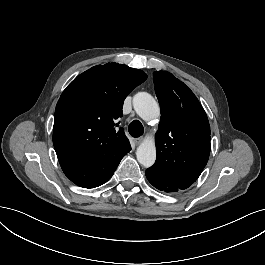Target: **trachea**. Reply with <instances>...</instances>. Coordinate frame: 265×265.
Wrapping results in <instances>:
<instances>
[{
  "instance_id": "1",
  "label": "trachea",
  "mask_w": 265,
  "mask_h": 265,
  "mask_svg": "<svg viewBox=\"0 0 265 265\" xmlns=\"http://www.w3.org/2000/svg\"><path fill=\"white\" fill-rule=\"evenodd\" d=\"M128 131L131 136L137 138L143 134L144 128L139 120H133L128 126Z\"/></svg>"
}]
</instances>
